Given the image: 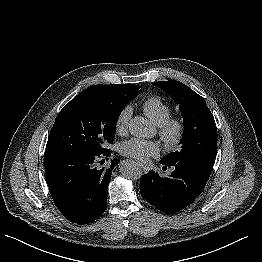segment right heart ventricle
Masks as SVG:
<instances>
[{
	"label": "right heart ventricle",
	"mask_w": 262,
	"mask_h": 262,
	"mask_svg": "<svg viewBox=\"0 0 262 262\" xmlns=\"http://www.w3.org/2000/svg\"><path fill=\"white\" fill-rule=\"evenodd\" d=\"M144 113L157 126L162 125L171 114L169 105L158 96H150L142 105Z\"/></svg>",
	"instance_id": "e07e8e85"
}]
</instances>
